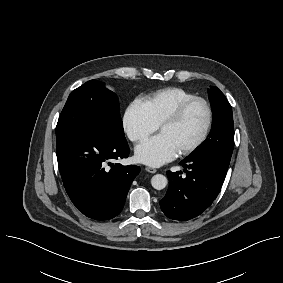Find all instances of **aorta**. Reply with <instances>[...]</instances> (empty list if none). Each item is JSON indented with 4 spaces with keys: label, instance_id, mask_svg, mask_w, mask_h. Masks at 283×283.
Returning a JSON list of instances; mask_svg holds the SVG:
<instances>
[{
    "label": "aorta",
    "instance_id": "obj_1",
    "mask_svg": "<svg viewBox=\"0 0 283 283\" xmlns=\"http://www.w3.org/2000/svg\"><path fill=\"white\" fill-rule=\"evenodd\" d=\"M168 180L162 174H156L151 178V185L154 189L162 190L167 186Z\"/></svg>",
    "mask_w": 283,
    "mask_h": 283
}]
</instances>
